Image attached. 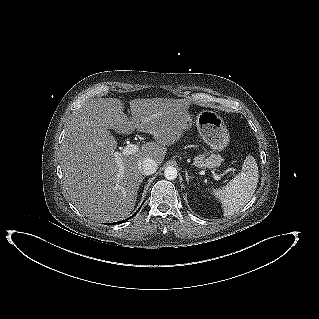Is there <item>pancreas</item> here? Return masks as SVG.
<instances>
[{"instance_id":"cf45deb5","label":"pancreas","mask_w":319,"mask_h":319,"mask_svg":"<svg viewBox=\"0 0 319 319\" xmlns=\"http://www.w3.org/2000/svg\"><path fill=\"white\" fill-rule=\"evenodd\" d=\"M221 163L220 156H210L206 158V154L196 156L194 165L198 168H214Z\"/></svg>"}]
</instances>
